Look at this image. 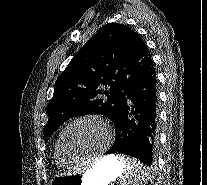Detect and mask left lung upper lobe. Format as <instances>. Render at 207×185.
<instances>
[{"instance_id":"1","label":"left lung upper lobe","mask_w":207,"mask_h":185,"mask_svg":"<svg viewBox=\"0 0 207 185\" xmlns=\"http://www.w3.org/2000/svg\"><path fill=\"white\" fill-rule=\"evenodd\" d=\"M152 66L147 46L136 32L124 24L102 26L55 82L45 141L74 116L103 114L114 123L130 88Z\"/></svg>"}]
</instances>
